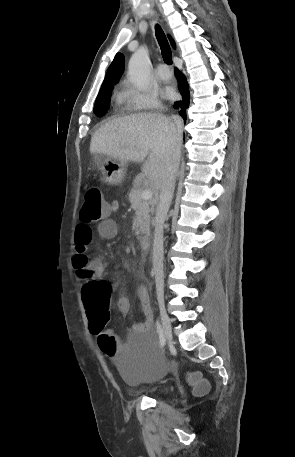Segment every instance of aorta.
<instances>
[{"label":"aorta","instance_id":"762f6f07","mask_svg":"<svg viewBox=\"0 0 295 457\" xmlns=\"http://www.w3.org/2000/svg\"><path fill=\"white\" fill-rule=\"evenodd\" d=\"M128 76L132 85L139 91H146L150 83V62L148 49L141 46L134 52L128 64Z\"/></svg>","mask_w":295,"mask_h":457}]
</instances>
